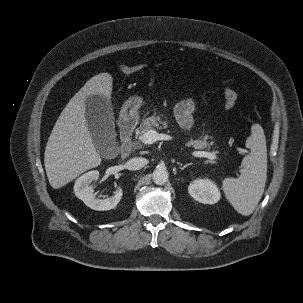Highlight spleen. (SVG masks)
<instances>
[{
    "instance_id": "3e777b00",
    "label": "spleen",
    "mask_w": 303,
    "mask_h": 303,
    "mask_svg": "<svg viewBox=\"0 0 303 303\" xmlns=\"http://www.w3.org/2000/svg\"><path fill=\"white\" fill-rule=\"evenodd\" d=\"M250 153L241 163L238 178H225L222 189L234 209L248 216L257 207L267 180V148L264 130L260 124L251 126V135L246 140Z\"/></svg>"
}]
</instances>
